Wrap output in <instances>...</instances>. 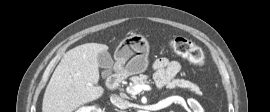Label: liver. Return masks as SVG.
<instances>
[{
  "mask_svg": "<svg viewBox=\"0 0 270 112\" xmlns=\"http://www.w3.org/2000/svg\"><path fill=\"white\" fill-rule=\"evenodd\" d=\"M108 47L88 43L70 50L61 61L45 90L43 112H73L101 98L105 90L97 86L99 55Z\"/></svg>",
  "mask_w": 270,
  "mask_h": 112,
  "instance_id": "1",
  "label": "liver"
}]
</instances>
